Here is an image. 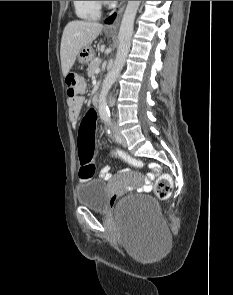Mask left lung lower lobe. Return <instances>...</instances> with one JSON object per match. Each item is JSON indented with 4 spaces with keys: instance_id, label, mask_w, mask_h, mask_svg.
Segmentation results:
<instances>
[{
    "instance_id": "obj_1",
    "label": "left lung lower lobe",
    "mask_w": 233,
    "mask_h": 295,
    "mask_svg": "<svg viewBox=\"0 0 233 295\" xmlns=\"http://www.w3.org/2000/svg\"><path fill=\"white\" fill-rule=\"evenodd\" d=\"M115 17H116V14H113L112 16H110L109 18L105 20V23L111 24L114 21Z\"/></svg>"
}]
</instances>
